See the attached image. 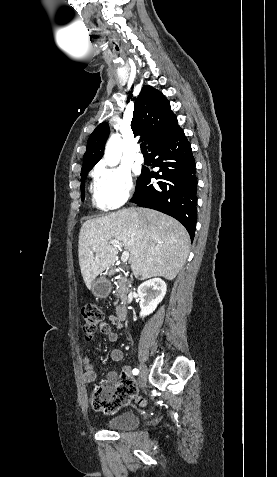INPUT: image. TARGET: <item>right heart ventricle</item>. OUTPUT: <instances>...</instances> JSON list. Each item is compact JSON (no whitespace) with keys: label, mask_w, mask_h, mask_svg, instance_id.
<instances>
[{"label":"right heart ventricle","mask_w":277,"mask_h":477,"mask_svg":"<svg viewBox=\"0 0 277 477\" xmlns=\"http://www.w3.org/2000/svg\"><path fill=\"white\" fill-rule=\"evenodd\" d=\"M91 193H92L93 204L97 208L102 209V210L108 209L107 206L103 203V201L100 198V195H99V192H98V187H97L96 183L91 186Z\"/></svg>","instance_id":"obj_1"}]
</instances>
